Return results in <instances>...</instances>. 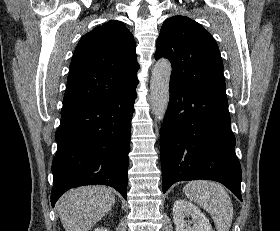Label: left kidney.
Segmentation results:
<instances>
[{
    "mask_svg": "<svg viewBox=\"0 0 280 231\" xmlns=\"http://www.w3.org/2000/svg\"><path fill=\"white\" fill-rule=\"evenodd\" d=\"M173 221L176 231H213L209 219L205 217L201 209L186 199L174 201Z\"/></svg>",
    "mask_w": 280,
    "mask_h": 231,
    "instance_id": "obj_1",
    "label": "left kidney"
}]
</instances>
